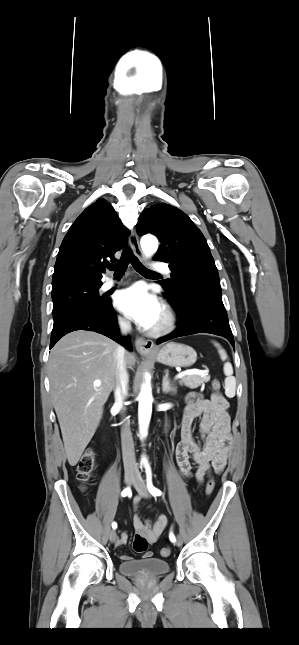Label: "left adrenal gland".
<instances>
[{
    "instance_id": "obj_1",
    "label": "left adrenal gland",
    "mask_w": 299,
    "mask_h": 645,
    "mask_svg": "<svg viewBox=\"0 0 299 645\" xmlns=\"http://www.w3.org/2000/svg\"><path fill=\"white\" fill-rule=\"evenodd\" d=\"M169 370H165V375L163 376V381H162V391L163 393H172L176 394L177 393V387L174 383H170L169 380Z\"/></svg>"
}]
</instances>
